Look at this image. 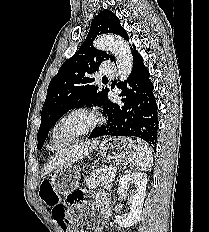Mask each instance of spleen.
<instances>
[{"label":"spleen","mask_w":209,"mask_h":232,"mask_svg":"<svg viewBox=\"0 0 209 232\" xmlns=\"http://www.w3.org/2000/svg\"><path fill=\"white\" fill-rule=\"evenodd\" d=\"M137 143L136 151L129 156V161L140 167L142 171H148L153 165L152 150L146 142L140 139L137 140Z\"/></svg>","instance_id":"3e777b00"}]
</instances>
